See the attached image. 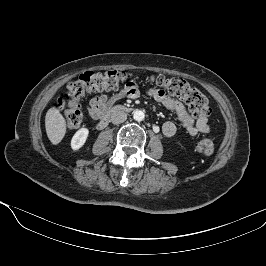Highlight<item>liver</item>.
Here are the masks:
<instances>
[{
  "instance_id": "liver-1",
  "label": "liver",
  "mask_w": 266,
  "mask_h": 266,
  "mask_svg": "<svg viewBox=\"0 0 266 266\" xmlns=\"http://www.w3.org/2000/svg\"><path fill=\"white\" fill-rule=\"evenodd\" d=\"M46 133L52 144H59L66 133V121L59 109L51 107L45 116Z\"/></svg>"
}]
</instances>
